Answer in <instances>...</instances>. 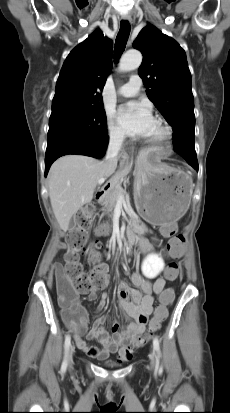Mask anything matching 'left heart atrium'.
Instances as JSON below:
<instances>
[{"mask_svg": "<svg viewBox=\"0 0 230 413\" xmlns=\"http://www.w3.org/2000/svg\"><path fill=\"white\" fill-rule=\"evenodd\" d=\"M118 122L127 133L145 137L152 129L155 120L147 104L131 101L119 108Z\"/></svg>", "mask_w": 230, "mask_h": 413, "instance_id": "obj_1", "label": "left heart atrium"}]
</instances>
